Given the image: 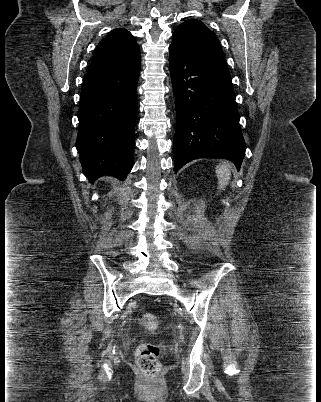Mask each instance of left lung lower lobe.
<instances>
[{
  "label": "left lung lower lobe",
  "mask_w": 321,
  "mask_h": 402,
  "mask_svg": "<svg viewBox=\"0 0 321 402\" xmlns=\"http://www.w3.org/2000/svg\"><path fill=\"white\" fill-rule=\"evenodd\" d=\"M169 65L177 102L174 171L203 157L226 158L239 169L246 144L227 65L174 45Z\"/></svg>",
  "instance_id": "0a47b994"
}]
</instances>
